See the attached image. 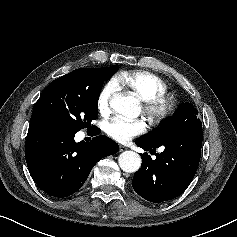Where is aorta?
<instances>
[{
	"label": "aorta",
	"mask_w": 237,
	"mask_h": 237,
	"mask_svg": "<svg viewBox=\"0 0 237 237\" xmlns=\"http://www.w3.org/2000/svg\"><path fill=\"white\" fill-rule=\"evenodd\" d=\"M111 108L125 117L135 118L139 115V102L133 96H124L116 94L110 100ZM120 168L128 173L139 170L141 166V158L134 151H124L118 157Z\"/></svg>",
	"instance_id": "1"
}]
</instances>
